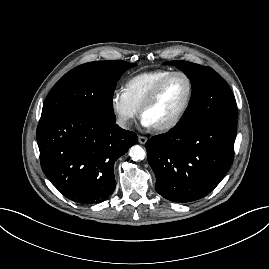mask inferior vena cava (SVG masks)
Wrapping results in <instances>:
<instances>
[{
	"label": "inferior vena cava",
	"mask_w": 269,
	"mask_h": 269,
	"mask_svg": "<svg viewBox=\"0 0 269 269\" xmlns=\"http://www.w3.org/2000/svg\"><path fill=\"white\" fill-rule=\"evenodd\" d=\"M117 124L121 127V128H127L128 127V122L125 119H119L117 121Z\"/></svg>",
	"instance_id": "602c4592"
}]
</instances>
